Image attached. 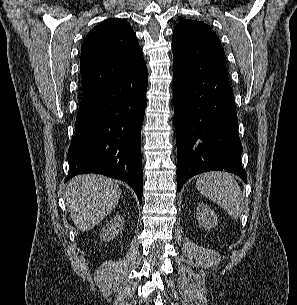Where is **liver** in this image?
<instances>
[{
    "label": "liver",
    "mask_w": 297,
    "mask_h": 305,
    "mask_svg": "<svg viewBox=\"0 0 297 305\" xmlns=\"http://www.w3.org/2000/svg\"><path fill=\"white\" fill-rule=\"evenodd\" d=\"M121 189L116 181L98 174L72 178L65 200L74 224L87 231L102 221L118 204Z\"/></svg>",
    "instance_id": "obj_1"
}]
</instances>
